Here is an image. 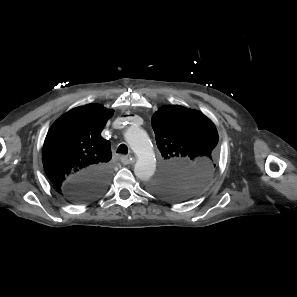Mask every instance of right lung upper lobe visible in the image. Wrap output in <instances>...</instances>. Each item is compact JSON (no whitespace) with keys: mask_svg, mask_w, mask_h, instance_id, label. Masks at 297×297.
<instances>
[{"mask_svg":"<svg viewBox=\"0 0 297 297\" xmlns=\"http://www.w3.org/2000/svg\"><path fill=\"white\" fill-rule=\"evenodd\" d=\"M101 105L89 104L61 116L44 141L42 161L54 187L61 194L74 175L94 168L108 167L110 142L101 136L113 115Z\"/></svg>","mask_w":297,"mask_h":297,"instance_id":"cb5924a9","label":"right lung upper lobe"}]
</instances>
